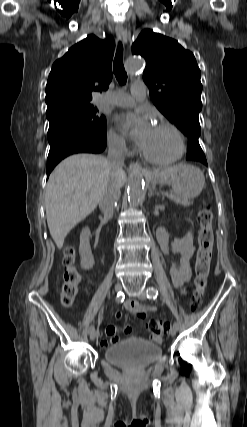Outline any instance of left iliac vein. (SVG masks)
<instances>
[{
    "label": "left iliac vein",
    "mask_w": 247,
    "mask_h": 427,
    "mask_svg": "<svg viewBox=\"0 0 247 427\" xmlns=\"http://www.w3.org/2000/svg\"><path fill=\"white\" fill-rule=\"evenodd\" d=\"M138 298L144 300L146 298V294L144 292H141L138 294ZM177 330L178 328L175 325H173L169 330L170 335L175 336L177 333Z\"/></svg>",
    "instance_id": "obj_1"
}]
</instances>
